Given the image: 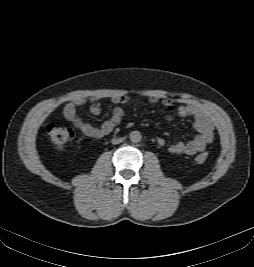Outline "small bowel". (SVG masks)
<instances>
[{
    "mask_svg": "<svg viewBox=\"0 0 254 267\" xmlns=\"http://www.w3.org/2000/svg\"><path fill=\"white\" fill-rule=\"evenodd\" d=\"M129 98L125 95L116 96L112 102L116 104L113 108L111 116L104 121L100 126H93L85 122L78 114L77 108L84 104V100L75 99L68 102L63 108L64 117L76 127L83 135L101 139L110 134L122 121L124 111L121 105L126 104ZM149 102L152 104L161 103L167 110L165 119L172 121L176 113L180 117H189L193 119L194 128L197 135L187 142H176L169 146V151L173 154L194 155L198 152L204 151L206 147L213 141L214 126L210 117L197 105L186 104L176 106L174 101L169 98H158L151 96ZM90 111L94 115L101 112V105L98 100H92L90 103ZM160 145H164L163 139H158Z\"/></svg>",
    "mask_w": 254,
    "mask_h": 267,
    "instance_id": "c3829d8e",
    "label": "small bowel"
}]
</instances>
